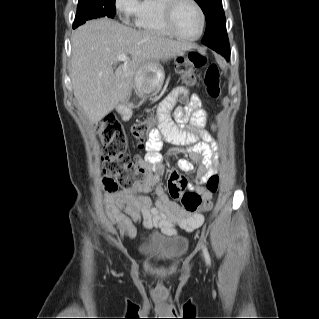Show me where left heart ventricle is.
Instances as JSON below:
<instances>
[{
	"instance_id": "1",
	"label": "left heart ventricle",
	"mask_w": 319,
	"mask_h": 319,
	"mask_svg": "<svg viewBox=\"0 0 319 319\" xmlns=\"http://www.w3.org/2000/svg\"><path fill=\"white\" fill-rule=\"evenodd\" d=\"M174 26L179 34L185 37L197 35L200 27L199 15L189 2L181 3L175 11Z\"/></svg>"
}]
</instances>
